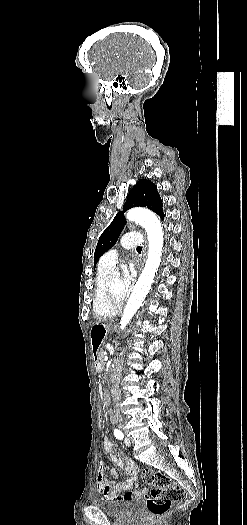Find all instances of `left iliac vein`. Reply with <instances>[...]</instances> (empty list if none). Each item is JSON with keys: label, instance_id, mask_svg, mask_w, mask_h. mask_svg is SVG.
<instances>
[{"label": "left iliac vein", "instance_id": "left-iliac-vein-1", "mask_svg": "<svg viewBox=\"0 0 247 525\" xmlns=\"http://www.w3.org/2000/svg\"><path fill=\"white\" fill-rule=\"evenodd\" d=\"M124 443H125L126 446H130V445H131V440H130L129 438L126 437V438L124 439Z\"/></svg>", "mask_w": 247, "mask_h": 525}]
</instances>
